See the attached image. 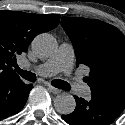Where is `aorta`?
Returning a JSON list of instances; mask_svg holds the SVG:
<instances>
[{
    "label": "aorta",
    "instance_id": "1",
    "mask_svg": "<svg viewBox=\"0 0 125 125\" xmlns=\"http://www.w3.org/2000/svg\"><path fill=\"white\" fill-rule=\"evenodd\" d=\"M33 51L41 58L51 56L55 49L56 43L50 34H40L32 42ZM55 110L63 115L70 114L76 107L75 99L70 94H60L54 99Z\"/></svg>",
    "mask_w": 125,
    "mask_h": 125
}]
</instances>
